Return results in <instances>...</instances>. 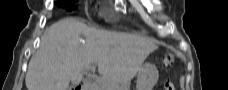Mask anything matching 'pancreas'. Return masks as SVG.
<instances>
[{
	"label": "pancreas",
	"mask_w": 228,
	"mask_h": 90,
	"mask_svg": "<svg viewBox=\"0 0 228 90\" xmlns=\"http://www.w3.org/2000/svg\"><path fill=\"white\" fill-rule=\"evenodd\" d=\"M110 86V84L103 80L102 78H97L92 84L89 85V89L90 90H96V89H104L106 87ZM115 90H128V85L127 84H123V85H119V84H114L113 85Z\"/></svg>",
	"instance_id": "pancreas-1"
}]
</instances>
